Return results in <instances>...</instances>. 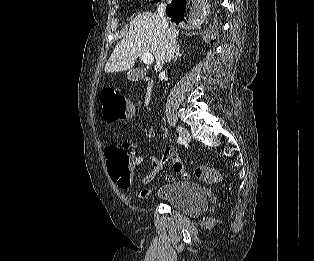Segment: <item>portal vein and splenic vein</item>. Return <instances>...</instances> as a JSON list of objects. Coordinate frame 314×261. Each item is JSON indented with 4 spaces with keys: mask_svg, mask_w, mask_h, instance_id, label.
<instances>
[{
    "mask_svg": "<svg viewBox=\"0 0 314 261\" xmlns=\"http://www.w3.org/2000/svg\"><path fill=\"white\" fill-rule=\"evenodd\" d=\"M142 61L146 65H151L154 62V57L151 53L144 52L141 57Z\"/></svg>",
    "mask_w": 314,
    "mask_h": 261,
    "instance_id": "portal-vein-and-splenic-vein-1",
    "label": "portal vein and splenic vein"
}]
</instances>
